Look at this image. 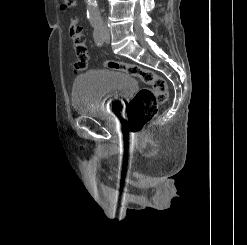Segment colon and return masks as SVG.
Masks as SVG:
<instances>
[{
  "mask_svg": "<svg viewBox=\"0 0 247 245\" xmlns=\"http://www.w3.org/2000/svg\"><path fill=\"white\" fill-rule=\"evenodd\" d=\"M75 0H63V7L71 9ZM69 36L74 42L76 61L72 64L74 72H82L87 69L90 54L83 36L73 29ZM106 67L139 78L148 87H143L136 92L129 102L127 109L128 128L131 132H140L158 113L159 107L168 99V87L164 78L154 71L136 64H128L115 60H108Z\"/></svg>",
  "mask_w": 247,
  "mask_h": 245,
  "instance_id": "1",
  "label": "colon"
}]
</instances>
